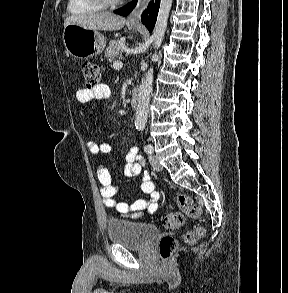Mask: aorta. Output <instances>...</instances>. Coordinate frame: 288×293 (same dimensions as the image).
I'll list each match as a JSON object with an SVG mask.
<instances>
[{
	"mask_svg": "<svg viewBox=\"0 0 288 293\" xmlns=\"http://www.w3.org/2000/svg\"><path fill=\"white\" fill-rule=\"evenodd\" d=\"M173 0H161L156 24L152 33L154 48L158 49L163 41L165 31L167 28L169 13L172 7ZM158 59L157 52L152 56V60ZM153 83V67L146 72L138 91V105L135 115V127L143 130L147 123L149 103L151 97Z\"/></svg>",
	"mask_w": 288,
	"mask_h": 293,
	"instance_id": "aorta-1",
	"label": "aorta"
}]
</instances>
